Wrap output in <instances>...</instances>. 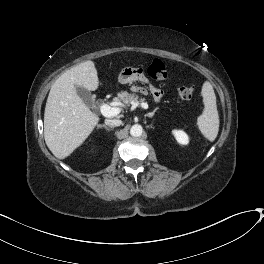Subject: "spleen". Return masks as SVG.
I'll return each mask as SVG.
<instances>
[{"label": "spleen", "mask_w": 264, "mask_h": 264, "mask_svg": "<svg viewBox=\"0 0 264 264\" xmlns=\"http://www.w3.org/2000/svg\"><path fill=\"white\" fill-rule=\"evenodd\" d=\"M204 110L197 118V126L201 133L209 141H214L219 131V115L216 105V96L210 82H204L202 86Z\"/></svg>", "instance_id": "3e777b00"}]
</instances>
